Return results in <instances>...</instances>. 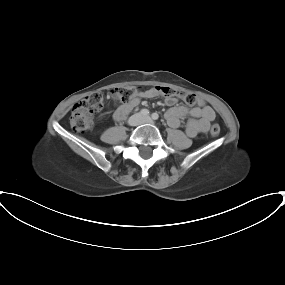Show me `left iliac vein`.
I'll return each mask as SVG.
<instances>
[{"mask_svg":"<svg viewBox=\"0 0 285 285\" xmlns=\"http://www.w3.org/2000/svg\"><path fill=\"white\" fill-rule=\"evenodd\" d=\"M152 119L149 116L143 117L141 123H152Z\"/></svg>","mask_w":285,"mask_h":285,"instance_id":"4c4485c4","label":"left iliac vein"}]
</instances>
